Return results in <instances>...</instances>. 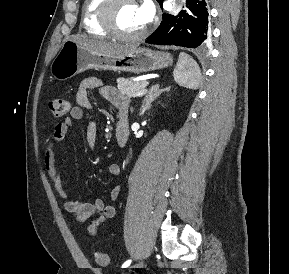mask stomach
Returning a JSON list of instances; mask_svg holds the SVG:
<instances>
[{
  "mask_svg": "<svg viewBox=\"0 0 289 274\" xmlns=\"http://www.w3.org/2000/svg\"><path fill=\"white\" fill-rule=\"evenodd\" d=\"M173 58L169 53L136 48L122 55H109L91 51L73 40L65 41L54 58L50 72L65 81L89 69L144 73L170 66Z\"/></svg>",
  "mask_w": 289,
  "mask_h": 274,
  "instance_id": "0dacf381",
  "label": "stomach"
}]
</instances>
